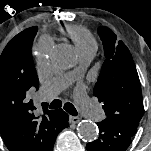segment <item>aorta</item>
<instances>
[{"mask_svg": "<svg viewBox=\"0 0 151 151\" xmlns=\"http://www.w3.org/2000/svg\"><path fill=\"white\" fill-rule=\"evenodd\" d=\"M74 51L69 45H58L52 53V62L60 67H68L74 61ZM77 131L84 141H93L97 138L99 130L92 121H82L78 124Z\"/></svg>", "mask_w": 151, "mask_h": 151, "instance_id": "obj_1", "label": "aorta"}]
</instances>
